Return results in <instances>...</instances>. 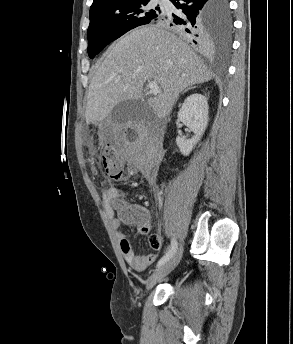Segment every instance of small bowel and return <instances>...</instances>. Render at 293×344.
<instances>
[{
    "label": "small bowel",
    "instance_id": "1",
    "mask_svg": "<svg viewBox=\"0 0 293 344\" xmlns=\"http://www.w3.org/2000/svg\"><path fill=\"white\" fill-rule=\"evenodd\" d=\"M118 192L117 187L110 186L103 192V201L106 215L111 223V228L114 232L115 239L118 243L119 249L127 262V264L136 272H143L147 267L156 261V254L137 255L135 254L129 239L122 232L124 223L116 217L112 207V201ZM150 245L155 250L162 248V238L158 234H152L149 238Z\"/></svg>",
    "mask_w": 293,
    "mask_h": 344
}]
</instances>
